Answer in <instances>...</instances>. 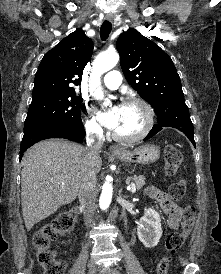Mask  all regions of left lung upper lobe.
<instances>
[{
  "label": "left lung upper lobe",
  "instance_id": "obj_1",
  "mask_svg": "<svg viewBox=\"0 0 221 274\" xmlns=\"http://www.w3.org/2000/svg\"><path fill=\"white\" fill-rule=\"evenodd\" d=\"M116 47L126 80L149 102L157 116L185 104L177 70L156 43L129 28L119 36Z\"/></svg>",
  "mask_w": 221,
  "mask_h": 274
}]
</instances>
